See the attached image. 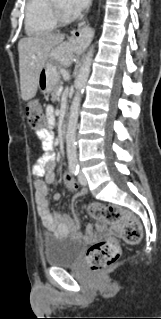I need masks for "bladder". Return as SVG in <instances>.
<instances>
[{"instance_id":"obj_1","label":"bladder","mask_w":161,"mask_h":319,"mask_svg":"<svg viewBox=\"0 0 161 319\" xmlns=\"http://www.w3.org/2000/svg\"><path fill=\"white\" fill-rule=\"evenodd\" d=\"M84 243L73 236L46 235L43 239L44 263L47 266H72L81 258Z\"/></svg>"}]
</instances>
